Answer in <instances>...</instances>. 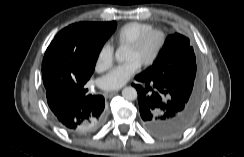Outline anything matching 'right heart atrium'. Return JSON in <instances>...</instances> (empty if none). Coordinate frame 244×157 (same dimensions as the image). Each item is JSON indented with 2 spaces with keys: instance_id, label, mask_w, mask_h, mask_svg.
Listing matches in <instances>:
<instances>
[{
  "instance_id": "right-heart-atrium-1",
  "label": "right heart atrium",
  "mask_w": 244,
  "mask_h": 157,
  "mask_svg": "<svg viewBox=\"0 0 244 157\" xmlns=\"http://www.w3.org/2000/svg\"><path fill=\"white\" fill-rule=\"evenodd\" d=\"M114 62V47L106 41L104 42L97 53L95 60V69L99 73H103L111 68Z\"/></svg>"
}]
</instances>
